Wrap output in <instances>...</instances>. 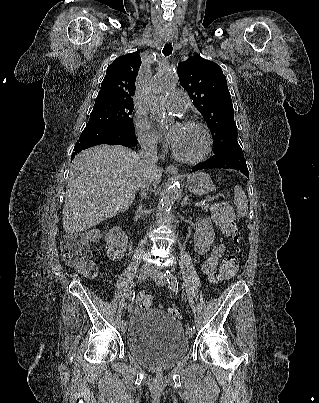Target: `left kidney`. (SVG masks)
Segmentation results:
<instances>
[{
  "label": "left kidney",
  "mask_w": 319,
  "mask_h": 403,
  "mask_svg": "<svg viewBox=\"0 0 319 403\" xmlns=\"http://www.w3.org/2000/svg\"><path fill=\"white\" fill-rule=\"evenodd\" d=\"M197 230L194 234L195 251L203 255L207 253L215 239L212 222L208 217L197 219Z\"/></svg>",
  "instance_id": "left-kidney-1"
}]
</instances>
